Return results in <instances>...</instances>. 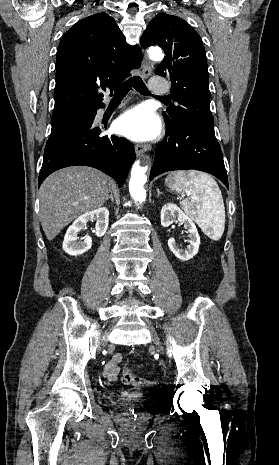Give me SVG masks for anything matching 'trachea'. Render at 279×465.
Segmentation results:
<instances>
[{"mask_svg":"<svg viewBox=\"0 0 279 465\" xmlns=\"http://www.w3.org/2000/svg\"><path fill=\"white\" fill-rule=\"evenodd\" d=\"M132 87L143 95H150V92L141 77L134 76L121 84V86L115 91L114 96H125ZM160 99L167 100L168 98L166 96H162Z\"/></svg>","mask_w":279,"mask_h":465,"instance_id":"3493384b","label":"trachea"}]
</instances>
